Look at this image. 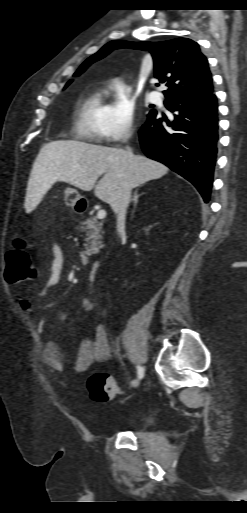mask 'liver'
Here are the masks:
<instances>
[{
	"instance_id": "1",
	"label": "liver",
	"mask_w": 247,
	"mask_h": 513,
	"mask_svg": "<svg viewBox=\"0 0 247 513\" xmlns=\"http://www.w3.org/2000/svg\"><path fill=\"white\" fill-rule=\"evenodd\" d=\"M168 170L165 165L144 156L131 153L130 157L122 148L75 140L52 141L41 148L33 164L25 209L27 212L33 210L57 181L84 191L94 188L95 196L111 205L124 183L136 188L161 178Z\"/></svg>"
}]
</instances>
